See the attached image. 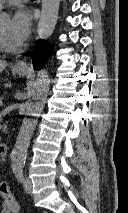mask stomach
Wrapping results in <instances>:
<instances>
[{
  "label": "stomach",
  "mask_w": 128,
  "mask_h": 213,
  "mask_svg": "<svg viewBox=\"0 0 128 213\" xmlns=\"http://www.w3.org/2000/svg\"><path fill=\"white\" fill-rule=\"evenodd\" d=\"M16 73L20 76H23L27 73V70H16Z\"/></svg>",
  "instance_id": "1"
}]
</instances>
